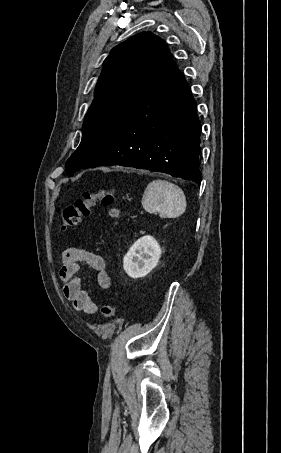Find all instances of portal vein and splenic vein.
I'll use <instances>...</instances> for the list:
<instances>
[{
	"label": "portal vein and splenic vein",
	"mask_w": 281,
	"mask_h": 453,
	"mask_svg": "<svg viewBox=\"0 0 281 453\" xmlns=\"http://www.w3.org/2000/svg\"><path fill=\"white\" fill-rule=\"evenodd\" d=\"M142 214H143V210H140L139 215H142ZM158 214L161 215L162 213L159 212Z\"/></svg>",
	"instance_id": "1"
}]
</instances>
